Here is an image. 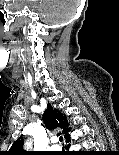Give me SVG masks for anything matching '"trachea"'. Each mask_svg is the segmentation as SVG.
<instances>
[{
    "label": "trachea",
    "instance_id": "1",
    "mask_svg": "<svg viewBox=\"0 0 119 155\" xmlns=\"http://www.w3.org/2000/svg\"><path fill=\"white\" fill-rule=\"evenodd\" d=\"M59 141L63 142V137L62 136L59 137Z\"/></svg>",
    "mask_w": 119,
    "mask_h": 155
}]
</instances>
